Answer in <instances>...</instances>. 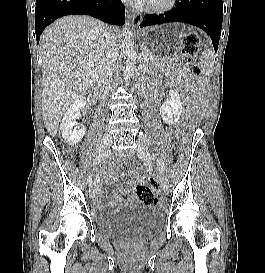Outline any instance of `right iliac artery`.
<instances>
[{
  "instance_id": "1",
  "label": "right iliac artery",
  "mask_w": 265,
  "mask_h": 273,
  "mask_svg": "<svg viewBox=\"0 0 265 273\" xmlns=\"http://www.w3.org/2000/svg\"><path fill=\"white\" fill-rule=\"evenodd\" d=\"M100 161H101V157H100V156H97V157L94 159V161H93V166L99 164ZM87 182H88L89 185L92 184V182H93V174H91V173L89 174V176H88V178H87Z\"/></svg>"
}]
</instances>
